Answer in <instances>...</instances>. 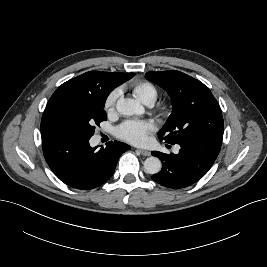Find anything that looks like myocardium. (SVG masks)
<instances>
[{
	"mask_svg": "<svg viewBox=\"0 0 267 267\" xmlns=\"http://www.w3.org/2000/svg\"><path fill=\"white\" fill-rule=\"evenodd\" d=\"M159 113L161 116H165L167 114V107L165 106L160 107Z\"/></svg>",
	"mask_w": 267,
	"mask_h": 267,
	"instance_id": "myocardium-1",
	"label": "myocardium"
}]
</instances>
